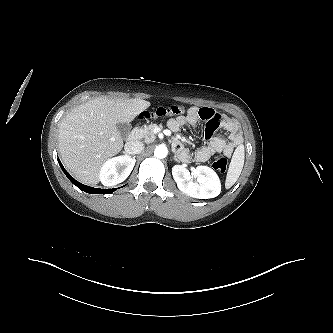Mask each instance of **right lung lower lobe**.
Masks as SVG:
<instances>
[{
    "instance_id": "obj_1",
    "label": "right lung lower lobe",
    "mask_w": 333,
    "mask_h": 333,
    "mask_svg": "<svg viewBox=\"0 0 333 333\" xmlns=\"http://www.w3.org/2000/svg\"><path fill=\"white\" fill-rule=\"evenodd\" d=\"M59 165L61 167V169L63 170V172L65 173V175L68 177V179L74 184L76 185L80 190L86 192V193H91V194H110L112 192H114L116 189H99V188H93V187H89L86 186L78 181H76L63 167L61 161L58 159Z\"/></svg>"
}]
</instances>
